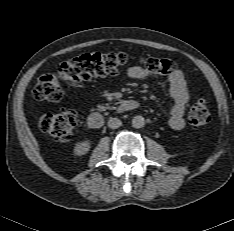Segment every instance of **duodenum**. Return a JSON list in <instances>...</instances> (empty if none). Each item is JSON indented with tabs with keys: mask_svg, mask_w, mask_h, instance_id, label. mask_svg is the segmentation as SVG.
Listing matches in <instances>:
<instances>
[{
	"mask_svg": "<svg viewBox=\"0 0 234 231\" xmlns=\"http://www.w3.org/2000/svg\"><path fill=\"white\" fill-rule=\"evenodd\" d=\"M138 108V102L135 100H124L118 107V111L123 112H132ZM87 124L92 129H100L104 125L103 116L98 113H92L87 117Z\"/></svg>",
	"mask_w": 234,
	"mask_h": 231,
	"instance_id": "duodenum-1",
	"label": "duodenum"
}]
</instances>
